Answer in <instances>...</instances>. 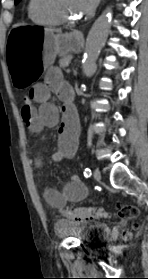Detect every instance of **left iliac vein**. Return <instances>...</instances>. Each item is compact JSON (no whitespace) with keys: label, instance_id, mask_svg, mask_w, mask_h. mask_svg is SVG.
I'll return each mask as SVG.
<instances>
[{"label":"left iliac vein","instance_id":"4c4485c4","mask_svg":"<svg viewBox=\"0 0 148 279\" xmlns=\"http://www.w3.org/2000/svg\"><path fill=\"white\" fill-rule=\"evenodd\" d=\"M93 175H94V178H95L96 181L99 182L101 180V173H100V171L98 169L94 170Z\"/></svg>","mask_w":148,"mask_h":279}]
</instances>
